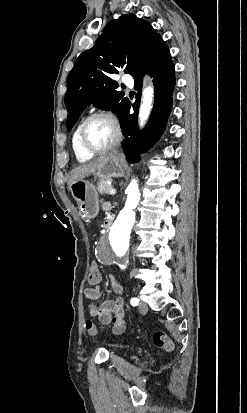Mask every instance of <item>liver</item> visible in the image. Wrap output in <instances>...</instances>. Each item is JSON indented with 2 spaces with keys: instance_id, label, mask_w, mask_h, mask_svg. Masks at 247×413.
<instances>
[{
  "instance_id": "1",
  "label": "liver",
  "mask_w": 247,
  "mask_h": 413,
  "mask_svg": "<svg viewBox=\"0 0 247 413\" xmlns=\"http://www.w3.org/2000/svg\"><path fill=\"white\" fill-rule=\"evenodd\" d=\"M105 156H101V158H96L95 162H87V164H80V166H76L70 172V178L68 184L71 182H76V180H83L85 176H89L92 172H95L96 168L104 162Z\"/></svg>"
}]
</instances>
